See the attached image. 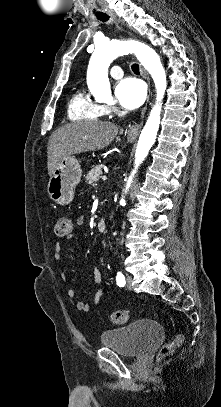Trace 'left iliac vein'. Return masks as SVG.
<instances>
[{"label": "left iliac vein", "mask_w": 221, "mask_h": 407, "mask_svg": "<svg viewBox=\"0 0 221 407\" xmlns=\"http://www.w3.org/2000/svg\"><path fill=\"white\" fill-rule=\"evenodd\" d=\"M132 280H133L132 276L128 275V276L126 277V288H127L128 290H132V289H133Z\"/></svg>", "instance_id": "obj_1"}]
</instances>
